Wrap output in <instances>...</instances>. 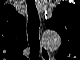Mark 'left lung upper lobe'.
<instances>
[{
  "label": "left lung upper lobe",
  "instance_id": "left-lung-upper-lobe-1",
  "mask_svg": "<svg viewBox=\"0 0 80 60\" xmlns=\"http://www.w3.org/2000/svg\"><path fill=\"white\" fill-rule=\"evenodd\" d=\"M70 7L68 2L61 3L53 12L52 18L46 22L47 28L56 30L62 38L61 49L71 47ZM59 50V51H60Z\"/></svg>",
  "mask_w": 80,
  "mask_h": 60
}]
</instances>
